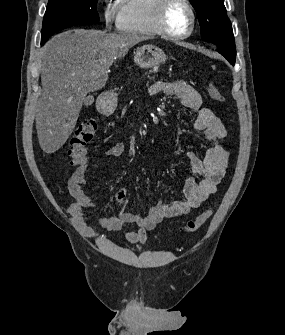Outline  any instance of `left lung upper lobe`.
I'll return each mask as SVG.
<instances>
[{"mask_svg":"<svg viewBox=\"0 0 285 335\" xmlns=\"http://www.w3.org/2000/svg\"><path fill=\"white\" fill-rule=\"evenodd\" d=\"M194 6L201 27V37L219 48L220 53L229 61L224 54L236 50L232 31L224 6V0H190Z\"/></svg>","mask_w":285,"mask_h":335,"instance_id":"1","label":"left lung upper lobe"}]
</instances>
